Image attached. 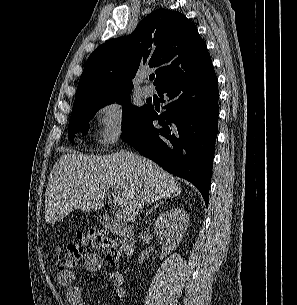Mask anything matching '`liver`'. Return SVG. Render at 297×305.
<instances>
[{"label": "liver", "instance_id": "obj_1", "mask_svg": "<svg viewBox=\"0 0 297 305\" xmlns=\"http://www.w3.org/2000/svg\"><path fill=\"white\" fill-rule=\"evenodd\" d=\"M127 154H63L53 166L48 180L46 223H55L73 209L87 213L102 209L110 188L114 190V204L123 208L130 222H135L142 200L151 204L181 194V186L171 174L153 161L135 154L138 166L133 165ZM140 194H143L142 199Z\"/></svg>", "mask_w": 297, "mask_h": 305}]
</instances>
